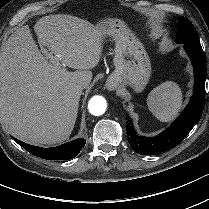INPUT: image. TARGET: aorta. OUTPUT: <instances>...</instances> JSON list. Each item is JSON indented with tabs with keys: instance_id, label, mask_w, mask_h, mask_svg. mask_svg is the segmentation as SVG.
I'll return each mask as SVG.
<instances>
[{
	"instance_id": "aorta-1",
	"label": "aorta",
	"mask_w": 209,
	"mask_h": 209,
	"mask_svg": "<svg viewBox=\"0 0 209 209\" xmlns=\"http://www.w3.org/2000/svg\"><path fill=\"white\" fill-rule=\"evenodd\" d=\"M107 108L106 99L102 96H93L88 103V110L94 116L102 115Z\"/></svg>"
}]
</instances>
